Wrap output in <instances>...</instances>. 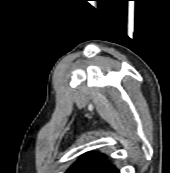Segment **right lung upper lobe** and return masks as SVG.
Here are the masks:
<instances>
[{
    "label": "right lung upper lobe",
    "mask_w": 170,
    "mask_h": 173,
    "mask_svg": "<svg viewBox=\"0 0 170 173\" xmlns=\"http://www.w3.org/2000/svg\"><path fill=\"white\" fill-rule=\"evenodd\" d=\"M115 166L109 163L104 154L88 152L74 163L66 173H108Z\"/></svg>",
    "instance_id": "obj_1"
}]
</instances>
